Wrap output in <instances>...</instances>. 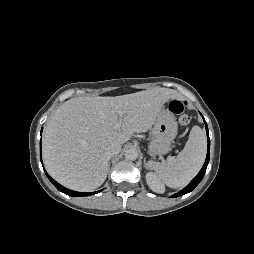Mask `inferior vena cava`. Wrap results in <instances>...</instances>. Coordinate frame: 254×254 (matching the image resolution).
Wrapping results in <instances>:
<instances>
[{
  "label": "inferior vena cava",
  "instance_id": "obj_1",
  "mask_svg": "<svg viewBox=\"0 0 254 254\" xmlns=\"http://www.w3.org/2000/svg\"><path fill=\"white\" fill-rule=\"evenodd\" d=\"M121 151V144L120 143H112L108 145L106 149L107 157L111 158L112 156L118 154Z\"/></svg>",
  "mask_w": 254,
  "mask_h": 254
}]
</instances>
